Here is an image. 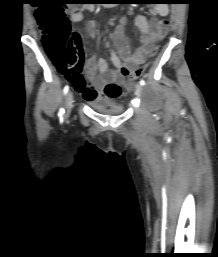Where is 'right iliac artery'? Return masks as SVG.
<instances>
[{
  "instance_id": "right-iliac-artery-1",
  "label": "right iliac artery",
  "mask_w": 218,
  "mask_h": 257,
  "mask_svg": "<svg viewBox=\"0 0 218 257\" xmlns=\"http://www.w3.org/2000/svg\"><path fill=\"white\" fill-rule=\"evenodd\" d=\"M68 90H69V87H68V85H66L63 90L64 94H67ZM63 116H64V109L60 108V110L58 112V117H59L60 122L63 121Z\"/></svg>"
}]
</instances>
